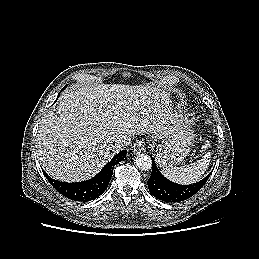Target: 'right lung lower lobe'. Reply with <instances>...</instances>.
Segmentation results:
<instances>
[{
	"label": "right lung lower lobe",
	"instance_id": "obj_1",
	"mask_svg": "<svg viewBox=\"0 0 259 259\" xmlns=\"http://www.w3.org/2000/svg\"><path fill=\"white\" fill-rule=\"evenodd\" d=\"M126 150L120 151L93 178L76 183H65L50 178L43 170L50 184L63 196L74 201H90L100 196L107 188L116 164L126 157Z\"/></svg>",
	"mask_w": 259,
	"mask_h": 259
}]
</instances>
